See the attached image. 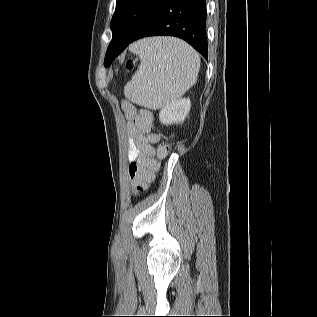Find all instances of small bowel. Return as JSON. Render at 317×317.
Here are the masks:
<instances>
[{
  "mask_svg": "<svg viewBox=\"0 0 317 317\" xmlns=\"http://www.w3.org/2000/svg\"><path fill=\"white\" fill-rule=\"evenodd\" d=\"M121 106L128 121L127 131L129 133V161L133 162L140 156H153L155 154L154 145L160 141V136L156 133L145 134L135 126L133 118L137 109L131 102L124 100Z\"/></svg>",
  "mask_w": 317,
  "mask_h": 317,
  "instance_id": "1",
  "label": "small bowel"
}]
</instances>
